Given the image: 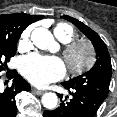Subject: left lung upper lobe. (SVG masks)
<instances>
[{"label": "left lung upper lobe", "instance_id": "1", "mask_svg": "<svg viewBox=\"0 0 117 117\" xmlns=\"http://www.w3.org/2000/svg\"><path fill=\"white\" fill-rule=\"evenodd\" d=\"M62 18L73 23L82 33H84L91 40L97 53L96 63L88 72L63 82V84L85 89L88 92L94 93L101 100H105L109 92L112 76L111 59L106 44L95 31L84 23L70 16H62Z\"/></svg>", "mask_w": 117, "mask_h": 117}]
</instances>
